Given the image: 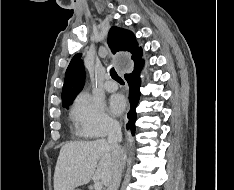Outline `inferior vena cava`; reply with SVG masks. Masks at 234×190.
Wrapping results in <instances>:
<instances>
[{"instance_id":"602c4592","label":"inferior vena cava","mask_w":234,"mask_h":190,"mask_svg":"<svg viewBox=\"0 0 234 190\" xmlns=\"http://www.w3.org/2000/svg\"><path fill=\"white\" fill-rule=\"evenodd\" d=\"M122 132L119 123L111 122L108 128V144L112 152L114 166L107 190H118L125 164V153L120 146Z\"/></svg>"}]
</instances>
